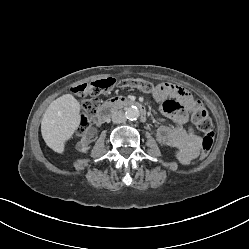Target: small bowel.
Returning <instances> with one entry per match:
<instances>
[{"instance_id":"c3829d8e","label":"small bowel","mask_w":249,"mask_h":249,"mask_svg":"<svg viewBox=\"0 0 249 249\" xmlns=\"http://www.w3.org/2000/svg\"><path fill=\"white\" fill-rule=\"evenodd\" d=\"M158 89V97L163 100L161 111L177 125L160 126L158 139L175 148L180 162L188 164L198 156L201 138L197 129L187 123L200 103L189 91L176 84L164 82L158 85Z\"/></svg>"}]
</instances>
